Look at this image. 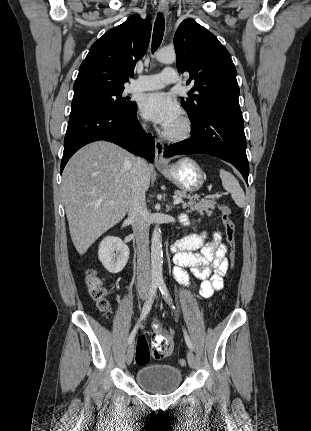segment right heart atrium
Returning <instances> with one entry per match:
<instances>
[{
    "mask_svg": "<svg viewBox=\"0 0 311 431\" xmlns=\"http://www.w3.org/2000/svg\"><path fill=\"white\" fill-rule=\"evenodd\" d=\"M137 125H138V128H139L142 132H147V130H148V122H147V120H146L145 118H140V119L137 121Z\"/></svg>",
    "mask_w": 311,
    "mask_h": 431,
    "instance_id": "1",
    "label": "right heart atrium"
}]
</instances>
